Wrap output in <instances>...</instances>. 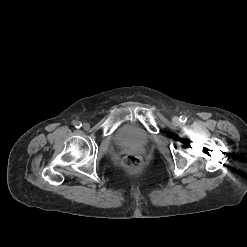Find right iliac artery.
Here are the masks:
<instances>
[{"instance_id":"1","label":"right iliac artery","mask_w":247,"mask_h":247,"mask_svg":"<svg viewBox=\"0 0 247 247\" xmlns=\"http://www.w3.org/2000/svg\"><path fill=\"white\" fill-rule=\"evenodd\" d=\"M74 126H75L76 128H80V127L82 126V124H81L80 121H76V122H74Z\"/></svg>"}]
</instances>
